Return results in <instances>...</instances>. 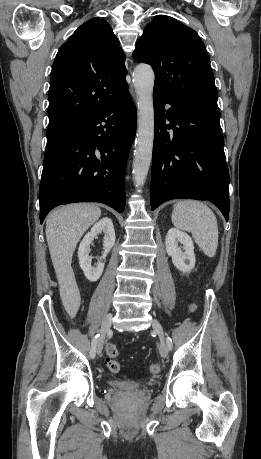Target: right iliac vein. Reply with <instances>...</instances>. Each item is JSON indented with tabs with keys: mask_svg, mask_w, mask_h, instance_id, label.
<instances>
[{
	"mask_svg": "<svg viewBox=\"0 0 261 459\" xmlns=\"http://www.w3.org/2000/svg\"><path fill=\"white\" fill-rule=\"evenodd\" d=\"M111 324H112V314H108L104 318V320L102 321L101 335H100V337H99V339L97 341V345H96L97 354H100L102 352L105 335L109 331V329L111 327Z\"/></svg>",
	"mask_w": 261,
	"mask_h": 459,
	"instance_id": "obj_1",
	"label": "right iliac vein"
}]
</instances>
